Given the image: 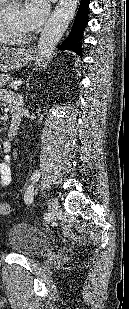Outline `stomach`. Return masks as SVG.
<instances>
[{"mask_svg":"<svg viewBox=\"0 0 129 309\" xmlns=\"http://www.w3.org/2000/svg\"><path fill=\"white\" fill-rule=\"evenodd\" d=\"M31 53L23 48L0 47V70H12L27 65Z\"/></svg>","mask_w":129,"mask_h":309,"instance_id":"1","label":"stomach"}]
</instances>
